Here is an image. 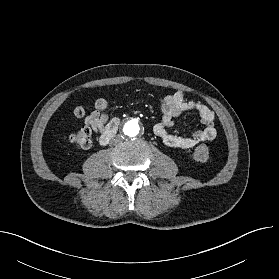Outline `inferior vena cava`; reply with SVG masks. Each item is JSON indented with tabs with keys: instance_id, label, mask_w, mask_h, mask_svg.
Wrapping results in <instances>:
<instances>
[{
	"instance_id": "602c4592",
	"label": "inferior vena cava",
	"mask_w": 279,
	"mask_h": 279,
	"mask_svg": "<svg viewBox=\"0 0 279 279\" xmlns=\"http://www.w3.org/2000/svg\"><path fill=\"white\" fill-rule=\"evenodd\" d=\"M122 142V137L120 135H116L111 139L112 144H119Z\"/></svg>"
}]
</instances>
